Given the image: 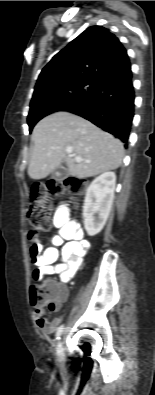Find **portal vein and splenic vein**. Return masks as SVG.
I'll list each match as a JSON object with an SVG mask.
<instances>
[{
  "label": "portal vein and splenic vein",
  "instance_id": "1",
  "mask_svg": "<svg viewBox=\"0 0 155 395\" xmlns=\"http://www.w3.org/2000/svg\"><path fill=\"white\" fill-rule=\"evenodd\" d=\"M71 152H72L71 150H67V153L71 154ZM75 161H76V162H82L83 159L76 156V157H75Z\"/></svg>",
  "mask_w": 155,
  "mask_h": 395
}]
</instances>
